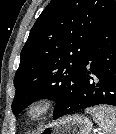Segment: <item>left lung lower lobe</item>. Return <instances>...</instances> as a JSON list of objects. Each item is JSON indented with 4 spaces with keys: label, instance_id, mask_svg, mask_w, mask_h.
<instances>
[{
    "label": "left lung lower lobe",
    "instance_id": "obj_1",
    "mask_svg": "<svg viewBox=\"0 0 116 134\" xmlns=\"http://www.w3.org/2000/svg\"><path fill=\"white\" fill-rule=\"evenodd\" d=\"M100 104L116 106V4L89 45L74 96L53 117Z\"/></svg>",
    "mask_w": 116,
    "mask_h": 134
}]
</instances>
